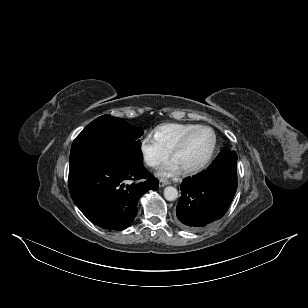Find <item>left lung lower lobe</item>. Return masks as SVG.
<instances>
[{"label":"left lung lower lobe","instance_id":"0a47b994","mask_svg":"<svg viewBox=\"0 0 308 308\" xmlns=\"http://www.w3.org/2000/svg\"><path fill=\"white\" fill-rule=\"evenodd\" d=\"M236 163V152H221L207 170L182 182L176 208L181 227L197 231L227 212L237 189Z\"/></svg>","mask_w":308,"mask_h":308}]
</instances>
